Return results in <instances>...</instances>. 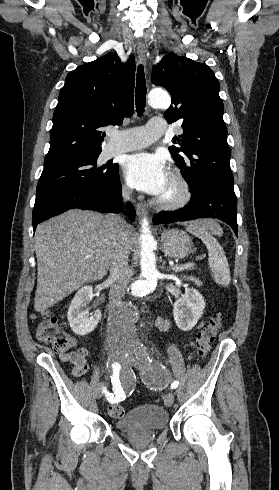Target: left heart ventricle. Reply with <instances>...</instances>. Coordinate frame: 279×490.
<instances>
[{
  "label": "left heart ventricle",
  "instance_id": "1",
  "mask_svg": "<svg viewBox=\"0 0 279 490\" xmlns=\"http://www.w3.org/2000/svg\"><path fill=\"white\" fill-rule=\"evenodd\" d=\"M178 194V191L177 189L172 185V182H171V179H170V183H169V186L165 192V194L162 196V198L164 199H172L174 198L176 195Z\"/></svg>",
  "mask_w": 279,
  "mask_h": 490
}]
</instances>
